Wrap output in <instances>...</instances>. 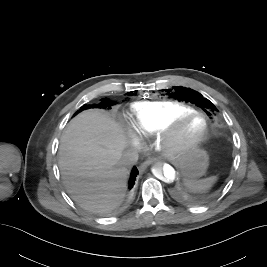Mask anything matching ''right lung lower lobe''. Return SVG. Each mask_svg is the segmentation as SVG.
Here are the masks:
<instances>
[{
  "label": "right lung lower lobe",
  "mask_w": 267,
  "mask_h": 267,
  "mask_svg": "<svg viewBox=\"0 0 267 267\" xmlns=\"http://www.w3.org/2000/svg\"><path fill=\"white\" fill-rule=\"evenodd\" d=\"M138 175V170L136 167L132 169L130 180H129V189H131L135 184V179Z\"/></svg>",
  "instance_id": "1"
}]
</instances>
